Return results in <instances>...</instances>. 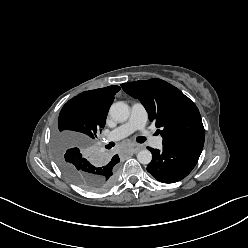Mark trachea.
<instances>
[{"label":"trachea","mask_w":248,"mask_h":248,"mask_svg":"<svg viewBox=\"0 0 248 248\" xmlns=\"http://www.w3.org/2000/svg\"><path fill=\"white\" fill-rule=\"evenodd\" d=\"M145 140H146V138L143 137V136H140V137L137 138V141H138L139 143H143Z\"/></svg>","instance_id":"obj_1"}]
</instances>
